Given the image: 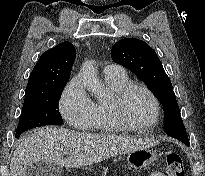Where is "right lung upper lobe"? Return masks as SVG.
<instances>
[{"instance_id": "1", "label": "right lung upper lobe", "mask_w": 205, "mask_h": 176, "mask_svg": "<svg viewBox=\"0 0 205 176\" xmlns=\"http://www.w3.org/2000/svg\"><path fill=\"white\" fill-rule=\"evenodd\" d=\"M76 57L71 42H62L44 52L32 70L25 96L44 93L66 84Z\"/></svg>"}]
</instances>
